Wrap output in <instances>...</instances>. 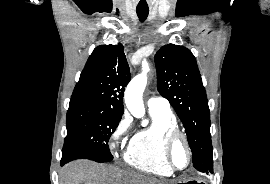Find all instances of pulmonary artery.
<instances>
[{"label": "pulmonary artery", "mask_w": 270, "mask_h": 184, "mask_svg": "<svg viewBox=\"0 0 270 184\" xmlns=\"http://www.w3.org/2000/svg\"><path fill=\"white\" fill-rule=\"evenodd\" d=\"M149 110H170L169 102L162 97H150L147 101Z\"/></svg>", "instance_id": "obj_1"}]
</instances>
